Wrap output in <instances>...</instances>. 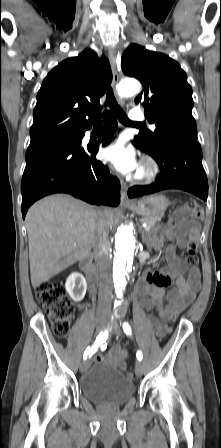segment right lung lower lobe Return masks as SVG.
Here are the masks:
<instances>
[{"label":"right lung lower lobe","mask_w":221,"mask_h":448,"mask_svg":"<svg viewBox=\"0 0 221 448\" xmlns=\"http://www.w3.org/2000/svg\"><path fill=\"white\" fill-rule=\"evenodd\" d=\"M116 128L117 121L108 111L100 136L103 146L109 144ZM85 131L28 147L21 183L23 218L31 204L53 193H69L97 205L120 203L119 180L111 177L107 166L95 159L98 144L81 147Z\"/></svg>","instance_id":"right-lung-lower-lobe-1"}]
</instances>
